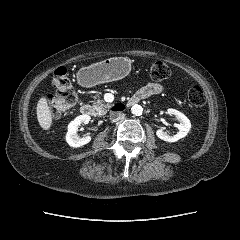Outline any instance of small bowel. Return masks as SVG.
Returning a JSON list of instances; mask_svg holds the SVG:
<instances>
[{
    "instance_id": "1",
    "label": "small bowel",
    "mask_w": 240,
    "mask_h": 240,
    "mask_svg": "<svg viewBox=\"0 0 240 240\" xmlns=\"http://www.w3.org/2000/svg\"><path fill=\"white\" fill-rule=\"evenodd\" d=\"M165 90V86L161 83L151 82L140 88L137 93L142 97V99L151 97L162 93Z\"/></svg>"
}]
</instances>
